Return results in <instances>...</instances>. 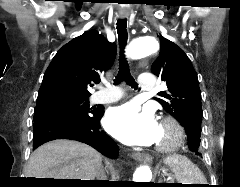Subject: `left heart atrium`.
Segmentation results:
<instances>
[{
	"mask_svg": "<svg viewBox=\"0 0 240 187\" xmlns=\"http://www.w3.org/2000/svg\"><path fill=\"white\" fill-rule=\"evenodd\" d=\"M106 130L127 145L150 146L158 141L160 126L149 110L126 104L114 107L105 116Z\"/></svg>",
	"mask_w": 240,
	"mask_h": 187,
	"instance_id": "1",
	"label": "left heart atrium"
}]
</instances>
